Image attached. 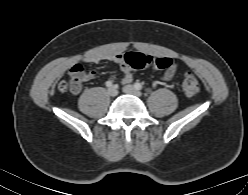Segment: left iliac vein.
I'll return each instance as SVG.
<instances>
[{"mask_svg": "<svg viewBox=\"0 0 248 195\" xmlns=\"http://www.w3.org/2000/svg\"><path fill=\"white\" fill-rule=\"evenodd\" d=\"M123 91L127 94H131V95H134L136 97H141L142 96V93L137 90L134 86L132 85H127L123 88Z\"/></svg>", "mask_w": 248, "mask_h": 195, "instance_id": "1", "label": "left iliac vein"}]
</instances>
